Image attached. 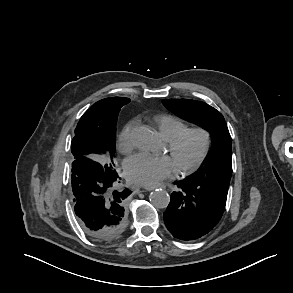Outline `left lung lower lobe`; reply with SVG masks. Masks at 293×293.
I'll return each instance as SVG.
<instances>
[{
    "label": "left lung lower lobe",
    "instance_id": "1",
    "mask_svg": "<svg viewBox=\"0 0 293 293\" xmlns=\"http://www.w3.org/2000/svg\"><path fill=\"white\" fill-rule=\"evenodd\" d=\"M164 212V222L174 237L195 240L219 222L225 209L229 184L204 183L187 178L177 183Z\"/></svg>",
    "mask_w": 293,
    "mask_h": 293
}]
</instances>
